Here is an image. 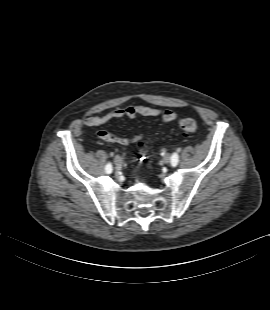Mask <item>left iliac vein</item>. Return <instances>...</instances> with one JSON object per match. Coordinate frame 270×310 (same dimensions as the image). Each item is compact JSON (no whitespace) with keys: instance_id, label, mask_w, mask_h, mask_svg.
Wrapping results in <instances>:
<instances>
[{"instance_id":"obj_1","label":"left iliac vein","mask_w":270,"mask_h":310,"mask_svg":"<svg viewBox=\"0 0 270 310\" xmlns=\"http://www.w3.org/2000/svg\"><path fill=\"white\" fill-rule=\"evenodd\" d=\"M163 161L164 163L168 164L171 162V156L169 154H166L164 157H163Z\"/></svg>"}]
</instances>
